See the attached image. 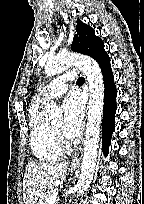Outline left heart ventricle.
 <instances>
[{"label": "left heart ventricle", "mask_w": 144, "mask_h": 204, "mask_svg": "<svg viewBox=\"0 0 144 204\" xmlns=\"http://www.w3.org/2000/svg\"><path fill=\"white\" fill-rule=\"evenodd\" d=\"M53 126L55 128H57L58 130H61V128H62V121H58V122L54 123Z\"/></svg>", "instance_id": "b2bd125f"}]
</instances>
